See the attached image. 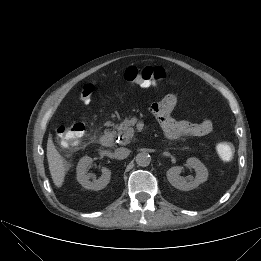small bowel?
Instances as JSON below:
<instances>
[{
	"label": "small bowel",
	"instance_id": "small-bowel-1",
	"mask_svg": "<svg viewBox=\"0 0 261 261\" xmlns=\"http://www.w3.org/2000/svg\"><path fill=\"white\" fill-rule=\"evenodd\" d=\"M177 101L178 99L175 94H168L161 101L154 102L150 105L151 111L158 119L167 138L175 139L181 136H205L213 130V123L208 118H204L197 123L175 121L172 119L170 115Z\"/></svg>",
	"mask_w": 261,
	"mask_h": 261
}]
</instances>
